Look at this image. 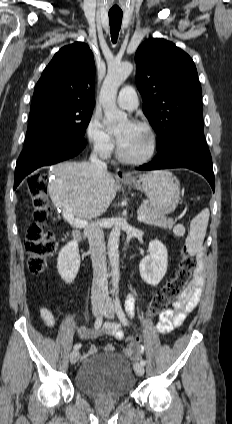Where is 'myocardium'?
<instances>
[{
    "label": "myocardium",
    "mask_w": 232,
    "mask_h": 424,
    "mask_svg": "<svg viewBox=\"0 0 232 424\" xmlns=\"http://www.w3.org/2000/svg\"><path fill=\"white\" fill-rule=\"evenodd\" d=\"M133 124L143 128L148 133V135L150 137V149H149V151L142 156L132 157V156L126 155L123 152L121 145L119 144L117 153H118V157L120 158V160L125 162V163L143 164V163L150 161L154 157V155L157 151V148H158V138H157V134H156L155 130L153 129V127L150 124H148L147 122L137 120V121H134Z\"/></svg>",
    "instance_id": "f54148a6"
}]
</instances>
